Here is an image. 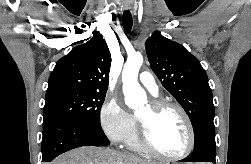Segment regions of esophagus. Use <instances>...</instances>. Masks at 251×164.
Here are the masks:
<instances>
[{"label": "esophagus", "instance_id": "esophagus-1", "mask_svg": "<svg viewBox=\"0 0 251 164\" xmlns=\"http://www.w3.org/2000/svg\"><path fill=\"white\" fill-rule=\"evenodd\" d=\"M124 8H125V10H129V9H131V4H130V2H125V4H124Z\"/></svg>", "mask_w": 251, "mask_h": 164}]
</instances>
